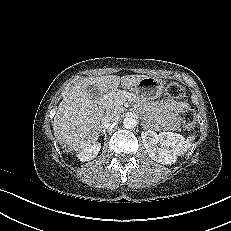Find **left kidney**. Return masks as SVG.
Masks as SVG:
<instances>
[{"label": "left kidney", "instance_id": "1", "mask_svg": "<svg viewBox=\"0 0 231 231\" xmlns=\"http://www.w3.org/2000/svg\"><path fill=\"white\" fill-rule=\"evenodd\" d=\"M144 147L152 160L161 164L175 163L181 147L185 143L182 135L173 132H160L148 130L141 133Z\"/></svg>", "mask_w": 231, "mask_h": 231}]
</instances>
